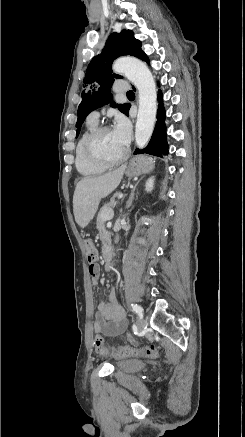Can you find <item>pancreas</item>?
<instances>
[{"label": "pancreas", "mask_w": 245, "mask_h": 437, "mask_svg": "<svg viewBox=\"0 0 245 437\" xmlns=\"http://www.w3.org/2000/svg\"><path fill=\"white\" fill-rule=\"evenodd\" d=\"M120 194V192H116L111 198L110 202L101 208L97 216V229L99 231V237L104 246L110 239V233L105 228L106 217L113 213V207L117 203L115 198L119 197Z\"/></svg>", "instance_id": "cf45deb5"}]
</instances>
